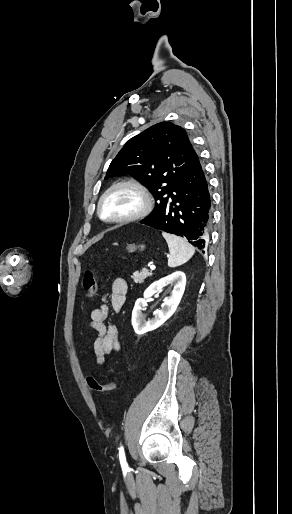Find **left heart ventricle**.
I'll return each instance as SVG.
<instances>
[{
    "instance_id": "b2bd125f",
    "label": "left heart ventricle",
    "mask_w": 292,
    "mask_h": 514,
    "mask_svg": "<svg viewBox=\"0 0 292 514\" xmlns=\"http://www.w3.org/2000/svg\"><path fill=\"white\" fill-rule=\"evenodd\" d=\"M140 203L139 196L127 189H120L111 194L103 205V215L113 218L128 214L135 210Z\"/></svg>"
}]
</instances>
